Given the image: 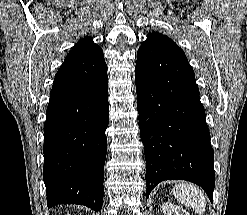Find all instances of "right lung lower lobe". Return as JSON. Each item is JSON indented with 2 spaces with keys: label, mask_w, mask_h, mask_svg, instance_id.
I'll list each match as a JSON object with an SVG mask.
<instances>
[{
  "label": "right lung lower lobe",
  "mask_w": 247,
  "mask_h": 215,
  "mask_svg": "<svg viewBox=\"0 0 247 215\" xmlns=\"http://www.w3.org/2000/svg\"><path fill=\"white\" fill-rule=\"evenodd\" d=\"M46 116L43 177L48 208L81 204L100 210L109 123L101 49L66 57L55 75Z\"/></svg>",
  "instance_id": "1"
}]
</instances>
